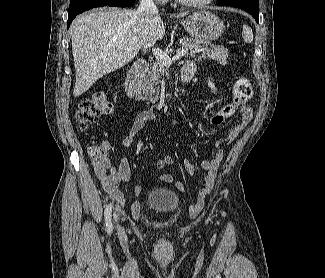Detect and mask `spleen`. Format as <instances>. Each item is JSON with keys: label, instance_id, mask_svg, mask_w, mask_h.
<instances>
[{"label": "spleen", "instance_id": "3e777b00", "mask_svg": "<svg viewBox=\"0 0 325 278\" xmlns=\"http://www.w3.org/2000/svg\"><path fill=\"white\" fill-rule=\"evenodd\" d=\"M242 36L246 43H251L253 41V32L248 25H243Z\"/></svg>", "mask_w": 325, "mask_h": 278}]
</instances>
